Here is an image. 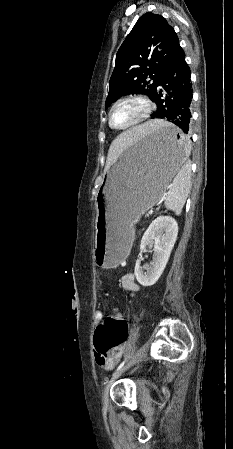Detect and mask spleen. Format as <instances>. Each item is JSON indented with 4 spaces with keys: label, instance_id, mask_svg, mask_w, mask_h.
I'll list each match as a JSON object with an SVG mask.
<instances>
[{
    "label": "spleen",
    "instance_id": "3e777b00",
    "mask_svg": "<svg viewBox=\"0 0 233 449\" xmlns=\"http://www.w3.org/2000/svg\"><path fill=\"white\" fill-rule=\"evenodd\" d=\"M190 153V142L187 144V157ZM191 188V165L189 161L185 162L179 168V171L170 186L167 198L165 200V207L174 211L176 215H180L185 205L188 193Z\"/></svg>",
    "mask_w": 233,
    "mask_h": 449
}]
</instances>
